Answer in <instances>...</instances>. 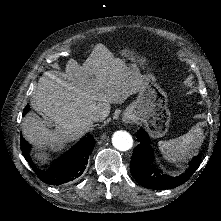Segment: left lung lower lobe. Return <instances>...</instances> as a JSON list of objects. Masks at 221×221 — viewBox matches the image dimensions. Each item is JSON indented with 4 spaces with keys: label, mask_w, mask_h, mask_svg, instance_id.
Segmentation results:
<instances>
[{
    "label": "left lung lower lobe",
    "mask_w": 221,
    "mask_h": 221,
    "mask_svg": "<svg viewBox=\"0 0 221 221\" xmlns=\"http://www.w3.org/2000/svg\"><path fill=\"white\" fill-rule=\"evenodd\" d=\"M137 139L140 142L131 157L130 172L134 179L145 188L168 189L175 188L186 182L200 165V155L193 158L185 173L171 177L158 171L153 161V151L150 139L145 130L139 129Z\"/></svg>",
    "instance_id": "left-lung-lower-lobe-1"
}]
</instances>
